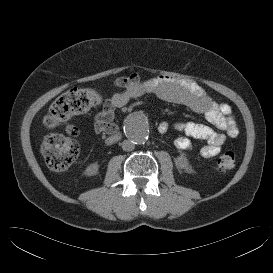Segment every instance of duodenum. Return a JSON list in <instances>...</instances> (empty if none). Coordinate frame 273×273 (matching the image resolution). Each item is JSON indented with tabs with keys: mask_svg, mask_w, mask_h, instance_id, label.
<instances>
[{
	"mask_svg": "<svg viewBox=\"0 0 273 273\" xmlns=\"http://www.w3.org/2000/svg\"><path fill=\"white\" fill-rule=\"evenodd\" d=\"M120 138H121V134L120 133H116V134H113V135L109 136L105 140V143L108 144V145H111V144H114L117 141H119Z\"/></svg>",
	"mask_w": 273,
	"mask_h": 273,
	"instance_id": "duodenum-1",
	"label": "duodenum"
}]
</instances>
